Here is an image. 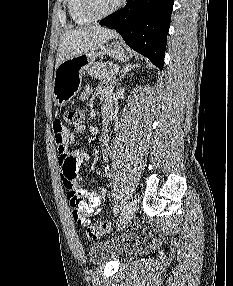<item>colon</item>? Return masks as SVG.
Here are the masks:
<instances>
[{
    "label": "colon",
    "mask_w": 233,
    "mask_h": 286,
    "mask_svg": "<svg viewBox=\"0 0 233 286\" xmlns=\"http://www.w3.org/2000/svg\"><path fill=\"white\" fill-rule=\"evenodd\" d=\"M63 121L66 126L70 127L74 131H80L83 127L84 113L80 108L67 110L63 115ZM67 197L71 208L78 214V209L82 205V199L79 198L74 191H70L67 194ZM111 228L112 225L109 222H97L87 228L86 237L90 240L97 239L108 233Z\"/></svg>",
    "instance_id": "obj_1"
}]
</instances>
